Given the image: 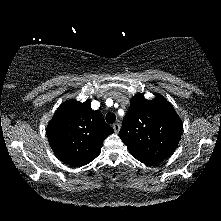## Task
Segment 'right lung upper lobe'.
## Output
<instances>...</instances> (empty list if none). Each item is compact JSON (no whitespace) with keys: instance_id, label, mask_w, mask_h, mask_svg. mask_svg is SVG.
<instances>
[{"instance_id":"obj_1","label":"right lung upper lobe","mask_w":221,"mask_h":221,"mask_svg":"<svg viewBox=\"0 0 221 221\" xmlns=\"http://www.w3.org/2000/svg\"><path fill=\"white\" fill-rule=\"evenodd\" d=\"M113 132L102 113L92 110L89 100L64 102L47 126L48 141L56 156L76 167L95 159L103 141Z\"/></svg>"}]
</instances>
